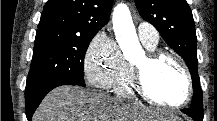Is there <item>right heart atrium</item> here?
I'll return each mask as SVG.
<instances>
[{"instance_id":"1","label":"right heart atrium","mask_w":217,"mask_h":121,"mask_svg":"<svg viewBox=\"0 0 217 121\" xmlns=\"http://www.w3.org/2000/svg\"><path fill=\"white\" fill-rule=\"evenodd\" d=\"M125 61L114 39L105 31L90 42L84 57L87 80L99 89H108L120 77Z\"/></svg>"}]
</instances>
